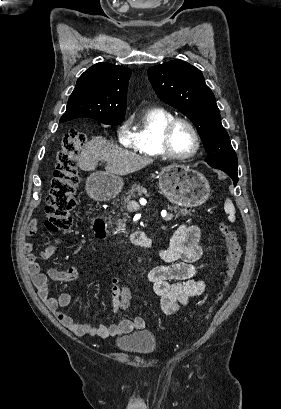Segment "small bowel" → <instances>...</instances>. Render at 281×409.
I'll use <instances>...</instances> for the list:
<instances>
[{
  "instance_id": "small-bowel-1",
  "label": "small bowel",
  "mask_w": 281,
  "mask_h": 409,
  "mask_svg": "<svg viewBox=\"0 0 281 409\" xmlns=\"http://www.w3.org/2000/svg\"><path fill=\"white\" fill-rule=\"evenodd\" d=\"M38 220H33L28 226V236H33ZM200 231L193 225L181 224L174 232L167 246H156L157 254L166 264L151 268L147 273V280L154 293L160 297L161 310L165 315H173L180 306L186 305L193 297L200 296L204 291L203 282L195 279L196 267L194 263L202 255ZM150 245V242H148ZM27 268L37 289L39 299L53 312L56 318L71 332L78 336L94 335L101 338L121 336L135 330L145 328V321L141 317L131 320H122L110 326L79 324L72 317L62 311L71 303V295L61 293L58 298L50 297L49 282H69L78 278V270L70 267L66 270L51 268L47 274L40 271L37 257L32 253L33 244L25 243ZM58 250V243L43 250L39 256L48 259ZM107 271L110 268L105 266ZM111 298L115 312L128 307L131 300V291L120 286V278L112 274Z\"/></svg>"
}]
</instances>
